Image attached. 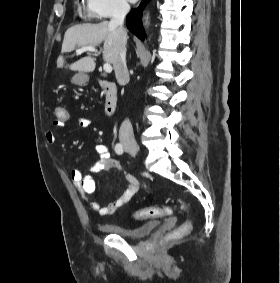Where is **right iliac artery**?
Returning <instances> with one entry per match:
<instances>
[{
    "label": "right iliac artery",
    "instance_id": "1",
    "mask_svg": "<svg viewBox=\"0 0 280 283\" xmlns=\"http://www.w3.org/2000/svg\"><path fill=\"white\" fill-rule=\"evenodd\" d=\"M115 152H116L118 155L123 154L124 149H123V146H122L120 143L116 144V146H115Z\"/></svg>",
    "mask_w": 280,
    "mask_h": 283
}]
</instances>
